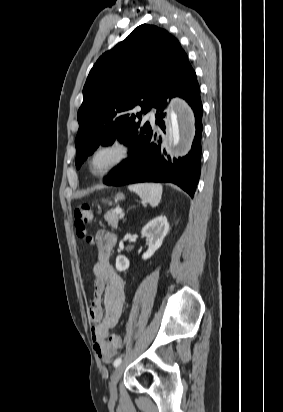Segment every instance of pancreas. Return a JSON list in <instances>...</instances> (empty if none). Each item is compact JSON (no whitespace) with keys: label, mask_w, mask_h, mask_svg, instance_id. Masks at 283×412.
Instances as JSON below:
<instances>
[{"label":"pancreas","mask_w":283,"mask_h":412,"mask_svg":"<svg viewBox=\"0 0 283 412\" xmlns=\"http://www.w3.org/2000/svg\"><path fill=\"white\" fill-rule=\"evenodd\" d=\"M105 220L108 222V225L111 226L113 229H116L118 226V221L120 219V216L114 211L110 210L106 215H105Z\"/></svg>","instance_id":"cf45deb5"}]
</instances>
